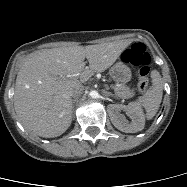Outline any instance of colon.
<instances>
[{
    "instance_id": "1",
    "label": "colon",
    "mask_w": 187,
    "mask_h": 187,
    "mask_svg": "<svg viewBox=\"0 0 187 187\" xmlns=\"http://www.w3.org/2000/svg\"><path fill=\"white\" fill-rule=\"evenodd\" d=\"M123 61L137 69V89L143 93L148 86L149 65L151 57L142 43L133 44L123 53Z\"/></svg>"
}]
</instances>
